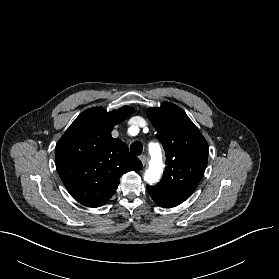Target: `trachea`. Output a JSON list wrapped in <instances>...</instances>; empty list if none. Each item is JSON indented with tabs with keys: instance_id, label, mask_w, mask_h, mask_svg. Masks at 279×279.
<instances>
[{
	"instance_id": "trachea-1",
	"label": "trachea",
	"mask_w": 279,
	"mask_h": 279,
	"mask_svg": "<svg viewBox=\"0 0 279 279\" xmlns=\"http://www.w3.org/2000/svg\"><path fill=\"white\" fill-rule=\"evenodd\" d=\"M142 150H143V145L141 142H134L131 144L130 146V151L133 155H140L142 153Z\"/></svg>"
}]
</instances>
